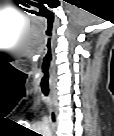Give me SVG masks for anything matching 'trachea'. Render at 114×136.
I'll use <instances>...</instances> for the list:
<instances>
[{
	"instance_id": "trachea-1",
	"label": "trachea",
	"mask_w": 114,
	"mask_h": 136,
	"mask_svg": "<svg viewBox=\"0 0 114 136\" xmlns=\"http://www.w3.org/2000/svg\"><path fill=\"white\" fill-rule=\"evenodd\" d=\"M43 72H44V74L46 76V80L41 82L40 87H41V90H42L43 94L45 96H47L48 93H49V83H48V80H47L48 70H44Z\"/></svg>"
}]
</instances>
